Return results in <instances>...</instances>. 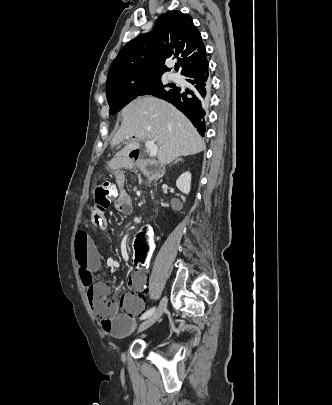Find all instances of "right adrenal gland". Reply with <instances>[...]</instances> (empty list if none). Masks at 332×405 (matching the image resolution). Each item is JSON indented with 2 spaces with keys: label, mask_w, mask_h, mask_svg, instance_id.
I'll return each instance as SVG.
<instances>
[{
  "label": "right adrenal gland",
  "mask_w": 332,
  "mask_h": 405,
  "mask_svg": "<svg viewBox=\"0 0 332 405\" xmlns=\"http://www.w3.org/2000/svg\"><path fill=\"white\" fill-rule=\"evenodd\" d=\"M177 162H183V159L182 158H177L176 160H174V162L172 164H175Z\"/></svg>",
  "instance_id": "right-adrenal-gland-1"
}]
</instances>
